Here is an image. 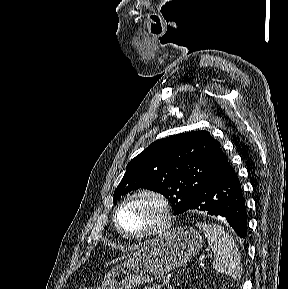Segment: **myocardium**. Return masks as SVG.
Here are the masks:
<instances>
[{
  "instance_id": "f54148a6",
  "label": "myocardium",
  "mask_w": 288,
  "mask_h": 289,
  "mask_svg": "<svg viewBox=\"0 0 288 289\" xmlns=\"http://www.w3.org/2000/svg\"><path fill=\"white\" fill-rule=\"evenodd\" d=\"M139 197H149V198L154 199L161 208V218L159 222L157 223V225L149 230L139 232V233H130V232L125 231L123 227L121 226L120 214L123 208L127 204H129L131 201ZM172 219H173V212H172L171 203L162 193L152 190V189H141L129 195L118 206L114 215V222H115L116 229L122 236L128 239H144V238H153V237L160 236L171 228Z\"/></svg>"
}]
</instances>
